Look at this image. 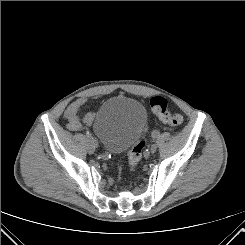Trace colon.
Segmentation results:
<instances>
[{"label":"colon","instance_id":"5ec220e1","mask_svg":"<svg viewBox=\"0 0 245 245\" xmlns=\"http://www.w3.org/2000/svg\"><path fill=\"white\" fill-rule=\"evenodd\" d=\"M150 105L153 112L159 119L170 126H178L183 122V116L179 113H171L167 109V100L161 96H154L150 100ZM145 147L143 140L134 144L128 154V163L130 170H135L140 162Z\"/></svg>","mask_w":245,"mask_h":245}]
</instances>
